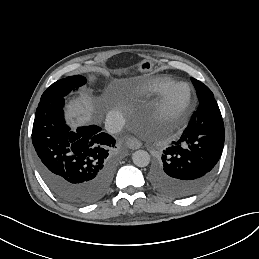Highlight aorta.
<instances>
[{
  "mask_svg": "<svg viewBox=\"0 0 259 259\" xmlns=\"http://www.w3.org/2000/svg\"><path fill=\"white\" fill-rule=\"evenodd\" d=\"M133 163L138 167H146L150 162V155L147 151L138 150L132 155Z\"/></svg>",
  "mask_w": 259,
  "mask_h": 259,
  "instance_id": "obj_1",
  "label": "aorta"
}]
</instances>
